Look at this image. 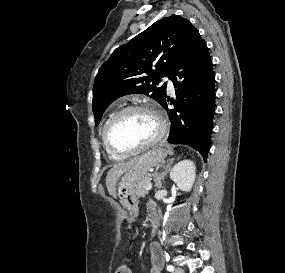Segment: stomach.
Wrapping results in <instances>:
<instances>
[{"mask_svg": "<svg viewBox=\"0 0 285 273\" xmlns=\"http://www.w3.org/2000/svg\"><path fill=\"white\" fill-rule=\"evenodd\" d=\"M167 151L155 148L144 153L138 161L126 170L117 183L116 193L122 206L129 212L132 219L137 210L136 186L148 176L150 168L161 163Z\"/></svg>", "mask_w": 285, "mask_h": 273, "instance_id": "0dacf381", "label": "stomach"}]
</instances>
